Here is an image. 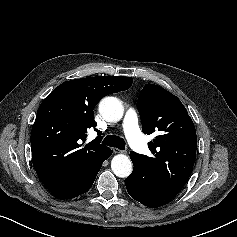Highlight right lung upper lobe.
<instances>
[{"label": "right lung upper lobe", "instance_id": "cb5924a9", "mask_svg": "<svg viewBox=\"0 0 237 237\" xmlns=\"http://www.w3.org/2000/svg\"><path fill=\"white\" fill-rule=\"evenodd\" d=\"M132 81L114 76L71 80L43 100L31 132L32 161L53 196H79L89 179L85 166L107 158L110 149L100 144L101 136L83 146L87 130L95 127L93 110L104 96L127 90Z\"/></svg>", "mask_w": 237, "mask_h": 237}]
</instances>
